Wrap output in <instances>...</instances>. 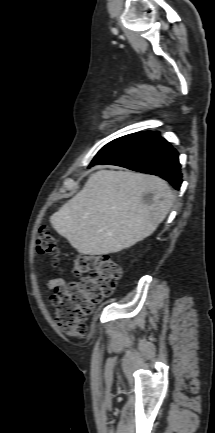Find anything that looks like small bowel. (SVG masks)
<instances>
[{"label":"small bowel","mask_w":215,"mask_h":433,"mask_svg":"<svg viewBox=\"0 0 215 433\" xmlns=\"http://www.w3.org/2000/svg\"><path fill=\"white\" fill-rule=\"evenodd\" d=\"M65 281L62 278H53L48 282V287L52 290H55L59 286H63Z\"/></svg>","instance_id":"obj_1"}]
</instances>
